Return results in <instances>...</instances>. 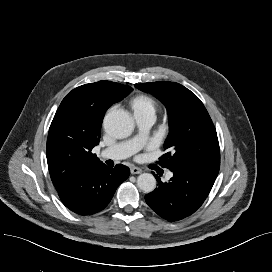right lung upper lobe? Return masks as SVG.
I'll return each instance as SVG.
<instances>
[{
  "instance_id": "cb5924a9",
  "label": "right lung upper lobe",
  "mask_w": 272,
  "mask_h": 272,
  "mask_svg": "<svg viewBox=\"0 0 272 272\" xmlns=\"http://www.w3.org/2000/svg\"><path fill=\"white\" fill-rule=\"evenodd\" d=\"M133 89L110 81L73 89L61 102L51 123L46 155L52 182L59 192L103 163L92 153L101 136L106 110Z\"/></svg>"
}]
</instances>
